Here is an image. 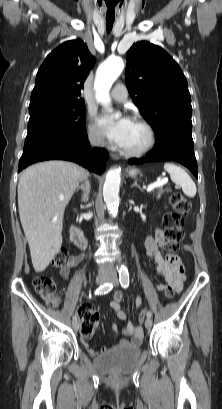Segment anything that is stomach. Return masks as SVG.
Returning <instances> with one entry per match:
<instances>
[{"mask_svg":"<svg viewBox=\"0 0 222 409\" xmlns=\"http://www.w3.org/2000/svg\"><path fill=\"white\" fill-rule=\"evenodd\" d=\"M138 173H139V170L137 169H132L129 171L130 176H133V177L136 176Z\"/></svg>","mask_w":222,"mask_h":409,"instance_id":"0dacf381","label":"stomach"}]
</instances>
